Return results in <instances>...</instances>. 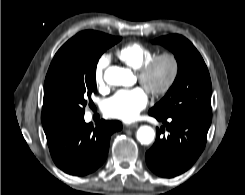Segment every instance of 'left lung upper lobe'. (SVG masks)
<instances>
[{
    "label": "left lung upper lobe",
    "instance_id": "1",
    "mask_svg": "<svg viewBox=\"0 0 245 195\" xmlns=\"http://www.w3.org/2000/svg\"><path fill=\"white\" fill-rule=\"evenodd\" d=\"M153 43L174 53L178 73L166 95L150 111L162 116L179 114L212 118L210 75L198 50L178 34L162 36Z\"/></svg>",
    "mask_w": 245,
    "mask_h": 195
}]
</instances>
